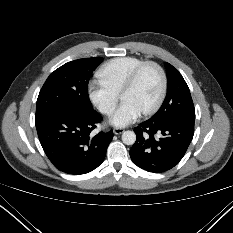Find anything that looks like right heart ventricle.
I'll return each instance as SVG.
<instances>
[{"label": "right heart ventricle", "mask_w": 233, "mask_h": 233, "mask_svg": "<svg viewBox=\"0 0 233 233\" xmlns=\"http://www.w3.org/2000/svg\"><path fill=\"white\" fill-rule=\"evenodd\" d=\"M143 62L133 56L116 57L102 65L96 75L101 82L120 93L131 73Z\"/></svg>", "instance_id": "obj_1"}]
</instances>
